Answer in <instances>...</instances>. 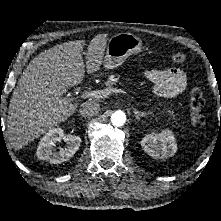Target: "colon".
I'll return each instance as SVG.
<instances>
[{"label":"colon","instance_id":"colon-1","mask_svg":"<svg viewBox=\"0 0 221 221\" xmlns=\"http://www.w3.org/2000/svg\"><path fill=\"white\" fill-rule=\"evenodd\" d=\"M171 62L175 65H184L187 57L185 54L177 52L172 54ZM204 107L203 92L198 85H194L190 91V118L194 125L204 126L206 119L202 114Z\"/></svg>","mask_w":221,"mask_h":221}]
</instances>
